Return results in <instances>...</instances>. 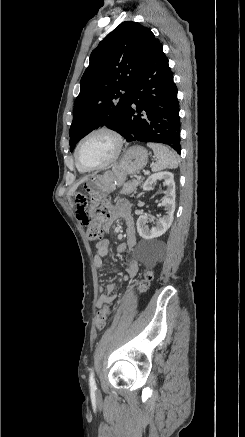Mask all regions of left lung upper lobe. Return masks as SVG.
<instances>
[{
	"mask_svg": "<svg viewBox=\"0 0 245 437\" xmlns=\"http://www.w3.org/2000/svg\"><path fill=\"white\" fill-rule=\"evenodd\" d=\"M159 44L150 29L125 21L93 50L74 103L69 130L71 151L99 126L124 134L130 91Z\"/></svg>",
	"mask_w": 245,
	"mask_h": 437,
	"instance_id": "1",
	"label": "left lung upper lobe"
}]
</instances>
